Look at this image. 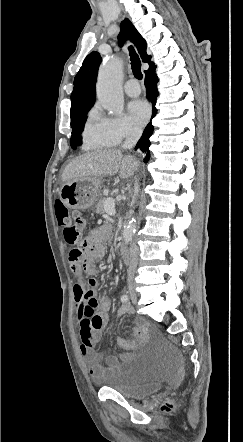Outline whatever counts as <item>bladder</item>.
<instances>
[{
	"label": "bladder",
	"mask_w": 243,
	"mask_h": 442,
	"mask_svg": "<svg viewBox=\"0 0 243 442\" xmlns=\"http://www.w3.org/2000/svg\"><path fill=\"white\" fill-rule=\"evenodd\" d=\"M101 386L129 398L140 399L159 391L161 382L151 358L132 354L118 363Z\"/></svg>",
	"instance_id": "bladder-1"
}]
</instances>
